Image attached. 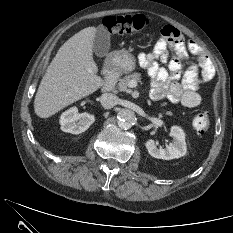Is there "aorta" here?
I'll return each mask as SVG.
<instances>
[{"label":"aorta","mask_w":233,"mask_h":233,"mask_svg":"<svg viewBox=\"0 0 233 233\" xmlns=\"http://www.w3.org/2000/svg\"><path fill=\"white\" fill-rule=\"evenodd\" d=\"M118 125L120 128L129 129L135 121V113L130 109H121L117 114Z\"/></svg>","instance_id":"762f6f07"}]
</instances>
